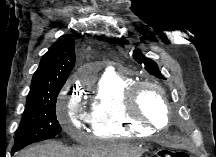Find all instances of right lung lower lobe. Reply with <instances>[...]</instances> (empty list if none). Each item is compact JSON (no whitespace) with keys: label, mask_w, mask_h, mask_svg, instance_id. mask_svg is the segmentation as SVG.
I'll use <instances>...</instances> for the list:
<instances>
[{"label":"right lung lower lobe","mask_w":216,"mask_h":157,"mask_svg":"<svg viewBox=\"0 0 216 157\" xmlns=\"http://www.w3.org/2000/svg\"><path fill=\"white\" fill-rule=\"evenodd\" d=\"M14 152H16V151H13V150H12V154H13Z\"/></svg>","instance_id":"right-lung-lower-lobe-1"}]
</instances>
